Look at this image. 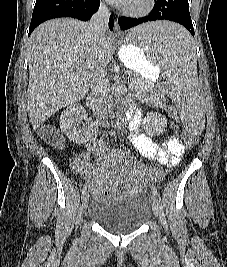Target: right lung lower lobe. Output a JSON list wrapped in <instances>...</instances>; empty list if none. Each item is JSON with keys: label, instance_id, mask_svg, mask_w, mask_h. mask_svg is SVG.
<instances>
[{"label": "right lung lower lobe", "instance_id": "right-lung-lower-lobe-1", "mask_svg": "<svg viewBox=\"0 0 227 267\" xmlns=\"http://www.w3.org/2000/svg\"><path fill=\"white\" fill-rule=\"evenodd\" d=\"M99 6L100 0H36L29 35L39 24L53 18L73 17L87 21L98 11ZM113 25V16H110V30Z\"/></svg>", "mask_w": 227, "mask_h": 267}]
</instances>
